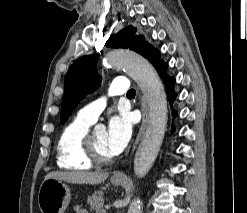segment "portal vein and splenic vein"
<instances>
[{"instance_id": "1", "label": "portal vein and splenic vein", "mask_w": 247, "mask_h": 213, "mask_svg": "<svg viewBox=\"0 0 247 213\" xmlns=\"http://www.w3.org/2000/svg\"><path fill=\"white\" fill-rule=\"evenodd\" d=\"M102 213H106V210H105V209H103V210H102Z\"/></svg>"}]
</instances>
